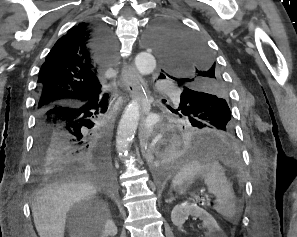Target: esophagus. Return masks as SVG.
Returning a JSON list of instances; mask_svg holds the SVG:
<instances>
[{
	"mask_svg": "<svg viewBox=\"0 0 297 237\" xmlns=\"http://www.w3.org/2000/svg\"><path fill=\"white\" fill-rule=\"evenodd\" d=\"M121 80L124 85V88L129 92L130 96L136 97L140 100L141 103V124L139 131V140L141 152L148 164L153 163L154 155L148 143L147 131L145 128V119L149 113V105L145 99L144 92L142 90V85L139 80L138 73L136 69L125 63L121 71Z\"/></svg>",
	"mask_w": 297,
	"mask_h": 237,
	"instance_id": "1",
	"label": "esophagus"
}]
</instances>
